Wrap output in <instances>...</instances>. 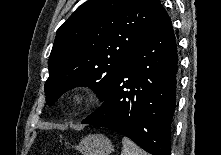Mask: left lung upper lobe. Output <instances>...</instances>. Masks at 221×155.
<instances>
[{
  "mask_svg": "<svg viewBox=\"0 0 221 155\" xmlns=\"http://www.w3.org/2000/svg\"><path fill=\"white\" fill-rule=\"evenodd\" d=\"M159 0H88L57 31L45 84L51 106L89 86L103 101L131 53L163 10Z\"/></svg>",
  "mask_w": 221,
  "mask_h": 155,
  "instance_id": "5c2ea615",
  "label": "left lung upper lobe"
}]
</instances>
